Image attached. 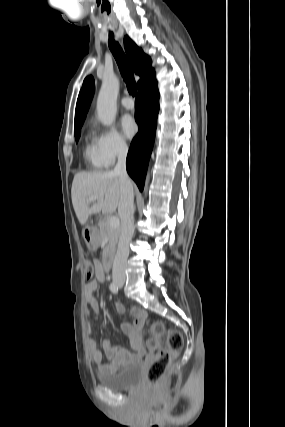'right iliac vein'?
<instances>
[{
	"label": "right iliac vein",
	"instance_id": "right-iliac-vein-1",
	"mask_svg": "<svg viewBox=\"0 0 285 427\" xmlns=\"http://www.w3.org/2000/svg\"><path fill=\"white\" fill-rule=\"evenodd\" d=\"M114 282H115L116 284H118V285H122V284H124V279H121V278L115 277V278H114Z\"/></svg>",
	"mask_w": 285,
	"mask_h": 427
}]
</instances>
